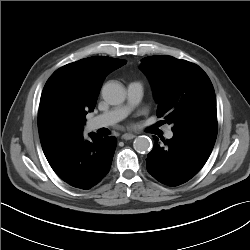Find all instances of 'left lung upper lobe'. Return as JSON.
I'll return each mask as SVG.
<instances>
[{"instance_id":"1","label":"left lung upper lobe","mask_w":250,"mask_h":250,"mask_svg":"<svg viewBox=\"0 0 250 250\" xmlns=\"http://www.w3.org/2000/svg\"><path fill=\"white\" fill-rule=\"evenodd\" d=\"M141 62L158 103L157 116L172 124L173 132L217 130L214 88L199 66L172 56H149Z\"/></svg>"}]
</instances>
